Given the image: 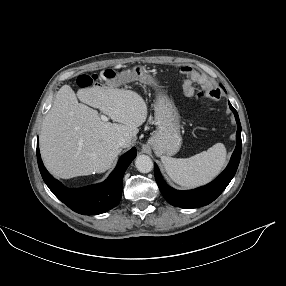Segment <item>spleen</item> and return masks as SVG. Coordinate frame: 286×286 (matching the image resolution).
I'll list each match as a JSON object with an SVG mask.
<instances>
[{
  "label": "spleen",
  "instance_id": "spleen-1",
  "mask_svg": "<svg viewBox=\"0 0 286 286\" xmlns=\"http://www.w3.org/2000/svg\"><path fill=\"white\" fill-rule=\"evenodd\" d=\"M161 161L173 182L185 188H194L207 184L221 172L226 161V149L222 143H217L189 158L163 156Z\"/></svg>",
  "mask_w": 286,
  "mask_h": 286
}]
</instances>
